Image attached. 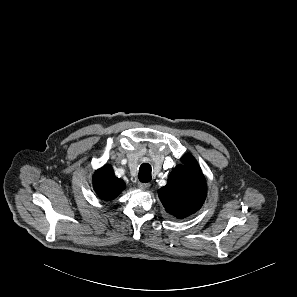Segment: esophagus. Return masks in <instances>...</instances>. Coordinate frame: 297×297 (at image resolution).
<instances>
[{
	"mask_svg": "<svg viewBox=\"0 0 297 297\" xmlns=\"http://www.w3.org/2000/svg\"><path fill=\"white\" fill-rule=\"evenodd\" d=\"M138 187H139L140 189L147 190V189L150 188V183H142V182H139V183H138Z\"/></svg>",
	"mask_w": 297,
	"mask_h": 297,
	"instance_id": "esophagus-1",
	"label": "esophagus"
}]
</instances>
